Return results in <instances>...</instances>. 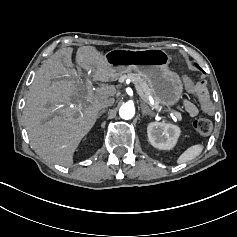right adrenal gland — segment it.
Instances as JSON below:
<instances>
[{
  "label": "right adrenal gland",
  "instance_id": "2a0ac1e0",
  "mask_svg": "<svg viewBox=\"0 0 237 237\" xmlns=\"http://www.w3.org/2000/svg\"><path fill=\"white\" fill-rule=\"evenodd\" d=\"M106 111H107L106 109L100 111L99 114H98V119H99V118L102 116V114H104Z\"/></svg>",
  "mask_w": 237,
  "mask_h": 237
}]
</instances>
